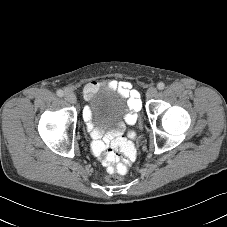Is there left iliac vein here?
<instances>
[{"mask_svg":"<svg viewBox=\"0 0 227 227\" xmlns=\"http://www.w3.org/2000/svg\"><path fill=\"white\" fill-rule=\"evenodd\" d=\"M157 88L156 87H150L147 92H146V97L147 98H153L154 96L157 95Z\"/></svg>","mask_w":227,"mask_h":227,"instance_id":"left-iliac-vein-1","label":"left iliac vein"}]
</instances>
